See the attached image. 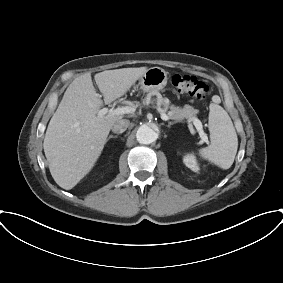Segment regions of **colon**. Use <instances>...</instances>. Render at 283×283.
I'll return each instance as SVG.
<instances>
[{
    "mask_svg": "<svg viewBox=\"0 0 283 283\" xmlns=\"http://www.w3.org/2000/svg\"><path fill=\"white\" fill-rule=\"evenodd\" d=\"M172 86L180 93H186L197 100H204L209 93V86L189 74L175 73L171 76Z\"/></svg>",
    "mask_w": 283,
    "mask_h": 283,
    "instance_id": "5ec220e1",
    "label": "colon"
}]
</instances>
